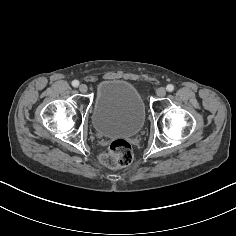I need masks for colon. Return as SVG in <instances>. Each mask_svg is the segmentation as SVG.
Here are the masks:
<instances>
[{"instance_id": "colon-1", "label": "colon", "mask_w": 236, "mask_h": 236, "mask_svg": "<svg viewBox=\"0 0 236 236\" xmlns=\"http://www.w3.org/2000/svg\"><path fill=\"white\" fill-rule=\"evenodd\" d=\"M133 153L130 144L122 139L114 140L106 153L100 156L102 164L109 168H122L132 161Z\"/></svg>"}]
</instances>
